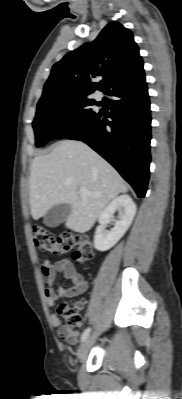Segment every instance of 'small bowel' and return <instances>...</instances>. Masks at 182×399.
Returning <instances> with one entry per match:
<instances>
[{"label": "small bowel", "mask_w": 182, "mask_h": 399, "mask_svg": "<svg viewBox=\"0 0 182 399\" xmlns=\"http://www.w3.org/2000/svg\"><path fill=\"white\" fill-rule=\"evenodd\" d=\"M58 273H62L64 278L72 285L68 288L59 286L53 289L52 285L55 282ZM41 276L45 285L46 303L49 307L55 306L58 299L73 297L81 295L86 292L88 282L82 274L77 272L74 264L67 258H63L53 262L51 259L46 258L41 267ZM82 306V303H79ZM52 324L58 327L59 336L68 344L73 345L77 342L80 332L75 331V338L70 339L67 337L66 329L62 326V320L56 315H52Z\"/></svg>", "instance_id": "obj_1"}]
</instances>
